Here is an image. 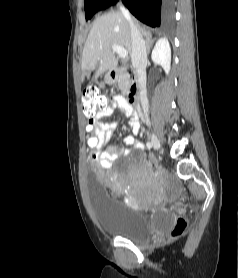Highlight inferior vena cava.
I'll return each mask as SVG.
<instances>
[{"label": "inferior vena cava", "mask_w": 238, "mask_h": 278, "mask_svg": "<svg viewBox=\"0 0 238 278\" xmlns=\"http://www.w3.org/2000/svg\"><path fill=\"white\" fill-rule=\"evenodd\" d=\"M122 14L127 19L130 27V34L132 40V52H131V62L136 71L138 78L139 86V97L142 105V109L146 118L147 123L148 119V99L146 91V65H147V52L145 41L142 38V35L135 25L131 15L127 9L123 6L120 7Z\"/></svg>", "instance_id": "602c4592"}]
</instances>
